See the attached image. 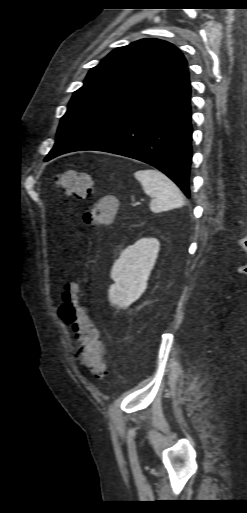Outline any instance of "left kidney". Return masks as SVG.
Listing matches in <instances>:
<instances>
[{
    "mask_svg": "<svg viewBox=\"0 0 247 513\" xmlns=\"http://www.w3.org/2000/svg\"><path fill=\"white\" fill-rule=\"evenodd\" d=\"M159 249L156 238H142L121 253L111 270L115 283L110 286L109 300L114 306L125 309L144 293Z\"/></svg>",
    "mask_w": 247,
    "mask_h": 513,
    "instance_id": "5707ae66",
    "label": "left kidney"
}]
</instances>
